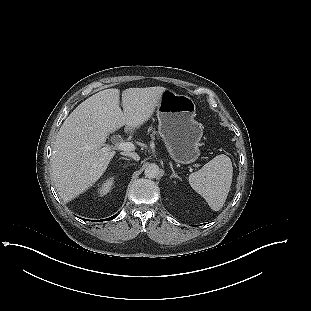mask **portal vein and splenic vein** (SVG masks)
I'll return each instance as SVG.
<instances>
[{"label": "portal vein and splenic vein", "mask_w": 311, "mask_h": 311, "mask_svg": "<svg viewBox=\"0 0 311 311\" xmlns=\"http://www.w3.org/2000/svg\"><path fill=\"white\" fill-rule=\"evenodd\" d=\"M116 149V150H122V151H132L135 149V146L131 142H120L115 144L114 146L106 145L104 147V150H110V149Z\"/></svg>", "instance_id": "18ae733b"}]
</instances>
